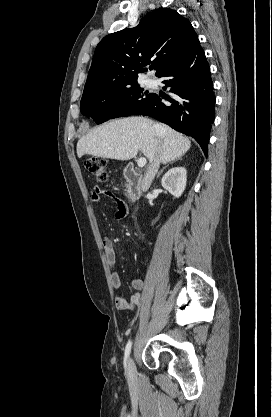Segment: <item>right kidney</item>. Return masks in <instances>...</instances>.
<instances>
[{
	"instance_id": "ca27d5eb",
	"label": "right kidney",
	"mask_w": 272,
	"mask_h": 417,
	"mask_svg": "<svg viewBox=\"0 0 272 417\" xmlns=\"http://www.w3.org/2000/svg\"><path fill=\"white\" fill-rule=\"evenodd\" d=\"M187 171L184 167L170 169L162 178V186L174 197L179 198L185 190Z\"/></svg>"
}]
</instances>
